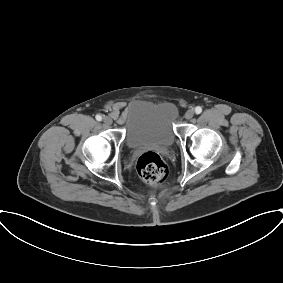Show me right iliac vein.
I'll return each mask as SVG.
<instances>
[{
	"instance_id": "right-iliac-vein-1",
	"label": "right iliac vein",
	"mask_w": 283,
	"mask_h": 283,
	"mask_svg": "<svg viewBox=\"0 0 283 283\" xmlns=\"http://www.w3.org/2000/svg\"><path fill=\"white\" fill-rule=\"evenodd\" d=\"M103 122H104V124H106V125H111V124L113 123V120H112L111 117L105 116V117L103 118Z\"/></svg>"
}]
</instances>
